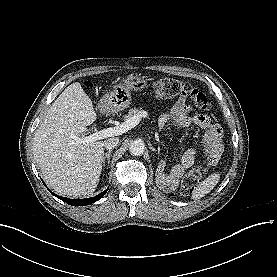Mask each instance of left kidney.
Instances as JSON below:
<instances>
[{
	"label": "left kidney",
	"instance_id": "obj_1",
	"mask_svg": "<svg viewBox=\"0 0 277 277\" xmlns=\"http://www.w3.org/2000/svg\"><path fill=\"white\" fill-rule=\"evenodd\" d=\"M166 165V162L164 160H161L159 162L157 171H156V183L161 186V188L164 190H172L176 186V176L174 174H165L164 167Z\"/></svg>",
	"mask_w": 277,
	"mask_h": 277
}]
</instances>
